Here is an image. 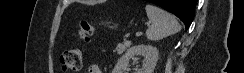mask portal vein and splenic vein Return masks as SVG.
<instances>
[{
  "label": "portal vein and splenic vein",
  "mask_w": 244,
  "mask_h": 73,
  "mask_svg": "<svg viewBox=\"0 0 244 73\" xmlns=\"http://www.w3.org/2000/svg\"><path fill=\"white\" fill-rule=\"evenodd\" d=\"M140 35H142V32H137V33L135 34L136 37H138V36H140Z\"/></svg>",
  "instance_id": "portal-vein-and-splenic-vein-1"
}]
</instances>
